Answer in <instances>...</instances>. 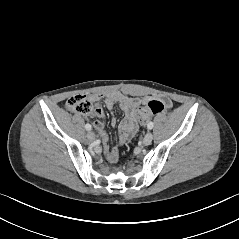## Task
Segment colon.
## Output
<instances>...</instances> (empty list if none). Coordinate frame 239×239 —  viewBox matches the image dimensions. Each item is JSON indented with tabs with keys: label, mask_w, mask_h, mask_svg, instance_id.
I'll list each match as a JSON object with an SVG mask.
<instances>
[{
	"label": "colon",
	"mask_w": 239,
	"mask_h": 239,
	"mask_svg": "<svg viewBox=\"0 0 239 239\" xmlns=\"http://www.w3.org/2000/svg\"><path fill=\"white\" fill-rule=\"evenodd\" d=\"M67 108L75 113L89 114L94 110L93 102L85 95L71 96L66 103ZM164 110L163 102L150 100L138 110V119L141 124L146 122L154 115L160 114Z\"/></svg>",
	"instance_id": "obj_1"
}]
</instances>
